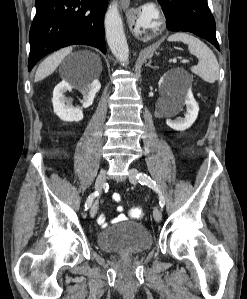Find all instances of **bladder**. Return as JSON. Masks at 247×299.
<instances>
[{
    "instance_id": "bladder-1",
    "label": "bladder",
    "mask_w": 247,
    "mask_h": 299,
    "mask_svg": "<svg viewBox=\"0 0 247 299\" xmlns=\"http://www.w3.org/2000/svg\"><path fill=\"white\" fill-rule=\"evenodd\" d=\"M152 242L150 231L134 221H123L105 228L97 236V243L102 250L118 254L142 253L152 246Z\"/></svg>"
}]
</instances>
